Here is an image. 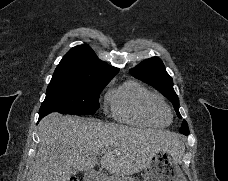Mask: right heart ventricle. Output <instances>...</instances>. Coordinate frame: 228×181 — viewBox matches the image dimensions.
I'll use <instances>...</instances> for the list:
<instances>
[{"label":"right heart ventricle","instance_id":"e07e8e85","mask_svg":"<svg viewBox=\"0 0 228 181\" xmlns=\"http://www.w3.org/2000/svg\"><path fill=\"white\" fill-rule=\"evenodd\" d=\"M115 118L122 122L162 127L170 119L162 99L140 84L127 81L108 92Z\"/></svg>","mask_w":228,"mask_h":181}]
</instances>
